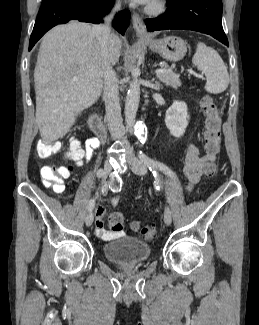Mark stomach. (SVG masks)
<instances>
[{
  "instance_id": "1",
  "label": "stomach",
  "mask_w": 259,
  "mask_h": 325,
  "mask_svg": "<svg viewBox=\"0 0 259 325\" xmlns=\"http://www.w3.org/2000/svg\"><path fill=\"white\" fill-rule=\"evenodd\" d=\"M146 44L153 52L158 53L165 60L170 62L180 61L187 52L185 41L176 36H168L163 39L148 41Z\"/></svg>"
}]
</instances>
